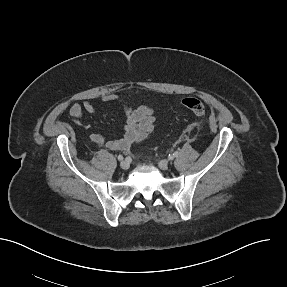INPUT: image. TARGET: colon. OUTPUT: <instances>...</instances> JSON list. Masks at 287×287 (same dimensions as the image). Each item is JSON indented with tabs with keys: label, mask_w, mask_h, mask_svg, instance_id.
I'll return each instance as SVG.
<instances>
[{
	"label": "colon",
	"mask_w": 287,
	"mask_h": 287,
	"mask_svg": "<svg viewBox=\"0 0 287 287\" xmlns=\"http://www.w3.org/2000/svg\"><path fill=\"white\" fill-rule=\"evenodd\" d=\"M183 106L195 115H203L205 113L204 103L196 97H188L182 101Z\"/></svg>",
	"instance_id": "5ec220e1"
}]
</instances>
